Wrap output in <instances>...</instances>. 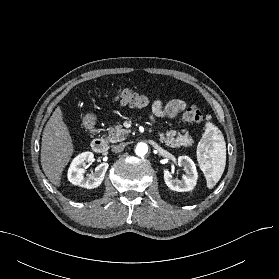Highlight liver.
<instances>
[{
	"label": "liver",
	"instance_id": "liver-1",
	"mask_svg": "<svg viewBox=\"0 0 279 279\" xmlns=\"http://www.w3.org/2000/svg\"><path fill=\"white\" fill-rule=\"evenodd\" d=\"M74 152L73 142L63 121L60 107H57L48 120L42 135V169L55 186L61 185V176Z\"/></svg>",
	"mask_w": 279,
	"mask_h": 279
}]
</instances>
